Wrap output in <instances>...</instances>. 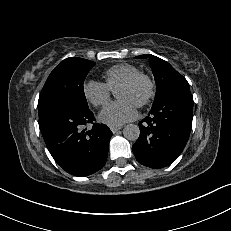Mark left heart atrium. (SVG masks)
I'll return each mask as SVG.
<instances>
[{
    "instance_id": "39dd6f15",
    "label": "left heart atrium",
    "mask_w": 231,
    "mask_h": 231,
    "mask_svg": "<svg viewBox=\"0 0 231 231\" xmlns=\"http://www.w3.org/2000/svg\"><path fill=\"white\" fill-rule=\"evenodd\" d=\"M136 116V106L129 100L119 99L105 107L100 112L98 119L111 127H119L135 119Z\"/></svg>"
}]
</instances>
